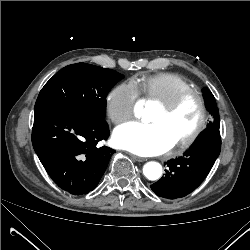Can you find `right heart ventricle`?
<instances>
[{
	"instance_id": "e07e8e85",
	"label": "right heart ventricle",
	"mask_w": 250,
	"mask_h": 250,
	"mask_svg": "<svg viewBox=\"0 0 250 250\" xmlns=\"http://www.w3.org/2000/svg\"><path fill=\"white\" fill-rule=\"evenodd\" d=\"M135 84L147 101L157 103L166 102L179 92L191 88V84L183 77L167 72L142 76Z\"/></svg>"
}]
</instances>
